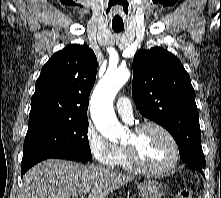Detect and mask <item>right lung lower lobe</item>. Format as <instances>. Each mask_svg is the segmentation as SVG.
<instances>
[{
	"label": "right lung lower lobe",
	"instance_id": "98d812e1",
	"mask_svg": "<svg viewBox=\"0 0 221 198\" xmlns=\"http://www.w3.org/2000/svg\"><path fill=\"white\" fill-rule=\"evenodd\" d=\"M49 158H59V159H68V160H73V161H82L83 159L74 155H70V154H51V155H46L44 157H41L37 160H35L34 162L28 164L27 166L21 167V176H23V174L30 169L32 166H34L36 163L43 161L45 159H49Z\"/></svg>",
	"mask_w": 221,
	"mask_h": 198
}]
</instances>
